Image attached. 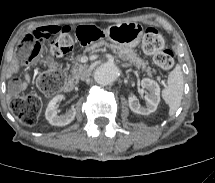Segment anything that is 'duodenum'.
<instances>
[{"label":"duodenum","instance_id":"duodenum-1","mask_svg":"<svg viewBox=\"0 0 215 183\" xmlns=\"http://www.w3.org/2000/svg\"><path fill=\"white\" fill-rule=\"evenodd\" d=\"M74 88V84L72 81H67L65 84H64V91L66 92H70L72 91Z\"/></svg>","mask_w":215,"mask_h":183}]
</instances>
